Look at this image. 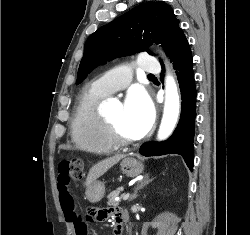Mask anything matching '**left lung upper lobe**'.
Listing matches in <instances>:
<instances>
[{
	"label": "left lung upper lobe",
	"instance_id": "obj_1",
	"mask_svg": "<svg viewBox=\"0 0 250 235\" xmlns=\"http://www.w3.org/2000/svg\"><path fill=\"white\" fill-rule=\"evenodd\" d=\"M181 28L173 9L164 2L141 4L92 33L84 47L77 84L98 65L116 57L149 50L162 44L167 55Z\"/></svg>",
	"mask_w": 250,
	"mask_h": 235
}]
</instances>
